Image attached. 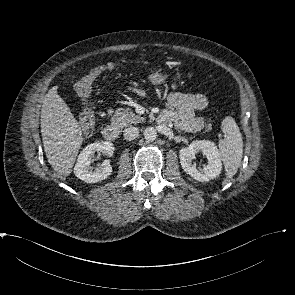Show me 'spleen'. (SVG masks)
<instances>
[{"mask_svg":"<svg viewBox=\"0 0 295 295\" xmlns=\"http://www.w3.org/2000/svg\"><path fill=\"white\" fill-rule=\"evenodd\" d=\"M224 139L219 141V155L224 163L227 178L238 171L243 155V140L235 120L227 116L222 121Z\"/></svg>","mask_w":295,"mask_h":295,"instance_id":"3e777b00","label":"spleen"}]
</instances>
